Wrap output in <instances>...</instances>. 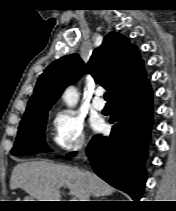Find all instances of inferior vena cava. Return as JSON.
Listing matches in <instances>:
<instances>
[{"mask_svg": "<svg viewBox=\"0 0 176 211\" xmlns=\"http://www.w3.org/2000/svg\"><path fill=\"white\" fill-rule=\"evenodd\" d=\"M89 196H90V193H89V191H87L86 192V197H85L84 201H90L89 200Z\"/></svg>", "mask_w": 176, "mask_h": 211, "instance_id": "inferior-vena-cava-1", "label": "inferior vena cava"}]
</instances>
